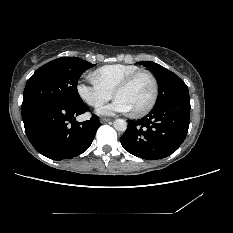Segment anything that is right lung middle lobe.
<instances>
[{"mask_svg": "<svg viewBox=\"0 0 233 233\" xmlns=\"http://www.w3.org/2000/svg\"><path fill=\"white\" fill-rule=\"evenodd\" d=\"M94 65L77 57H61L43 65L27 81L21 109L46 101L81 104L77 83L81 74Z\"/></svg>", "mask_w": 233, "mask_h": 233, "instance_id": "1", "label": "right lung middle lobe"}]
</instances>
